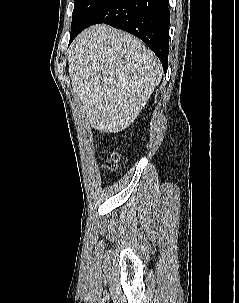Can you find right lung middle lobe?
<instances>
[{
    "instance_id": "right-lung-middle-lobe-1",
    "label": "right lung middle lobe",
    "mask_w": 239,
    "mask_h": 303,
    "mask_svg": "<svg viewBox=\"0 0 239 303\" xmlns=\"http://www.w3.org/2000/svg\"><path fill=\"white\" fill-rule=\"evenodd\" d=\"M105 1L106 0H75L72 14L71 36L79 33L84 28L94 11Z\"/></svg>"
}]
</instances>
